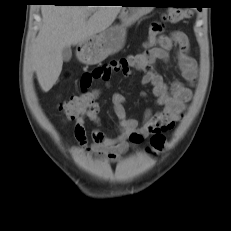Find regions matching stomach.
Returning <instances> with one entry per match:
<instances>
[{
    "label": "stomach",
    "instance_id": "obj_1",
    "mask_svg": "<svg viewBox=\"0 0 231 231\" xmlns=\"http://www.w3.org/2000/svg\"><path fill=\"white\" fill-rule=\"evenodd\" d=\"M130 4H150L151 1L130 0ZM153 7H123L120 13V25L112 26L102 33L84 40L77 51L78 58L86 64H97L109 55L118 52L124 45L126 29L142 16L151 12Z\"/></svg>",
    "mask_w": 231,
    "mask_h": 231
}]
</instances>
